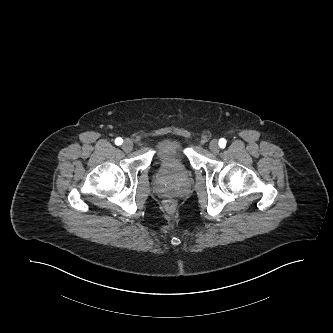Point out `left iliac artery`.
Listing matches in <instances>:
<instances>
[{"label":"left iliac artery","instance_id":"1","mask_svg":"<svg viewBox=\"0 0 333 333\" xmlns=\"http://www.w3.org/2000/svg\"><path fill=\"white\" fill-rule=\"evenodd\" d=\"M219 146H220V148H224L226 146V139L221 138L219 140Z\"/></svg>","mask_w":333,"mask_h":333}]
</instances>
